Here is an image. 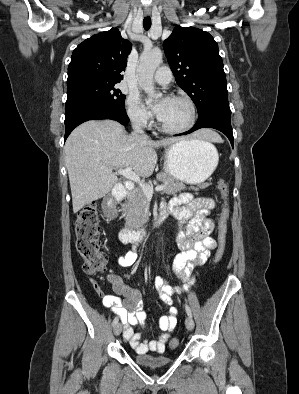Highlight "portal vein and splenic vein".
I'll list each match as a JSON object with an SVG mask.
<instances>
[{
  "label": "portal vein and splenic vein",
  "mask_w": 299,
  "mask_h": 394,
  "mask_svg": "<svg viewBox=\"0 0 299 394\" xmlns=\"http://www.w3.org/2000/svg\"><path fill=\"white\" fill-rule=\"evenodd\" d=\"M117 173L120 175H123L127 179L134 181L139 184L140 188L144 192L146 196H152L155 191H162L164 189V185H158L153 189L152 186L148 185L147 183L141 181L140 177L132 171L131 167H126L125 169H119L117 170Z\"/></svg>",
  "instance_id": "portal-vein-and-splenic-vein-1"
}]
</instances>
